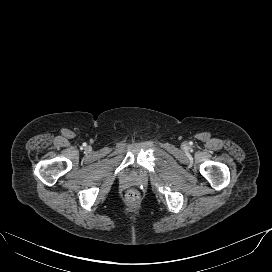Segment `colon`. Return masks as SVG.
Listing matches in <instances>:
<instances>
[{
    "mask_svg": "<svg viewBox=\"0 0 272 272\" xmlns=\"http://www.w3.org/2000/svg\"><path fill=\"white\" fill-rule=\"evenodd\" d=\"M126 196H127V199H128L129 201L134 202V201H137V200L139 199V196H140V195H139V192H138L137 190L131 189V190H129V191L127 192Z\"/></svg>",
    "mask_w": 272,
    "mask_h": 272,
    "instance_id": "1",
    "label": "colon"
}]
</instances>
